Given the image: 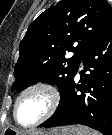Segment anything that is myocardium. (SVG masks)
I'll return each mask as SVG.
<instances>
[{"instance_id": "myocardium-1", "label": "myocardium", "mask_w": 112, "mask_h": 135, "mask_svg": "<svg viewBox=\"0 0 112 135\" xmlns=\"http://www.w3.org/2000/svg\"><path fill=\"white\" fill-rule=\"evenodd\" d=\"M36 90H42V91H45L48 96H49V99H50V106H49V109L47 110V112L39 119L37 120L36 122L32 123V124H29V125H24L22 124L19 120H18V117H17V107H18V104L20 102V100L29 92H32V91H36ZM60 101H61V96H60V93L59 91L54 87L52 86L51 84L49 83H46V82H38V83H34L28 87H26L19 95L18 97L16 98L15 100V103H14V106H13V118L15 120V122L23 127V128H33V127H36L40 124H42L43 122H45L46 120H48L50 117L53 116V114L56 112L59 104H60Z\"/></svg>"}]
</instances>
